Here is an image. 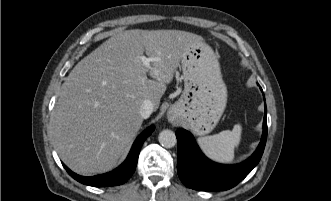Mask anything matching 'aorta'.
<instances>
[{"label": "aorta", "mask_w": 331, "mask_h": 201, "mask_svg": "<svg viewBox=\"0 0 331 201\" xmlns=\"http://www.w3.org/2000/svg\"><path fill=\"white\" fill-rule=\"evenodd\" d=\"M158 140H159V143L165 148H172L177 143L175 133L168 129L162 130L159 133Z\"/></svg>", "instance_id": "1"}]
</instances>
